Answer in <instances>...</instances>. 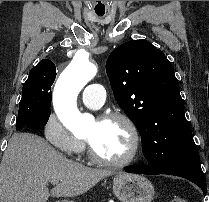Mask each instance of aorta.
Listing matches in <instances>:
<instances>
[{"label":"aorta","instance_id":"aorta-1","mask_svg":"<svg viewBox=\"0 0 209 202\" xmlns=\"http://www.w3.org/2000/svg\"><path fill=\"white\" fill-rule=\"evenodd\" d=\"M97 74V67L82 53H77L62 72L54 88V109L62 124L73 134L84 133L93 116L82 114L76 105L81 89Z\"/></svg>","mask_w":209,"mask_h":202}]
</instances>
